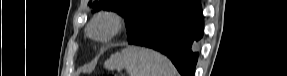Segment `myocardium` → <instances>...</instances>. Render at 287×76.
Listing matches in <instances>:
<instances>
[{
    "label": "myocardium",
    "mask_w": 287,
    "mask_h": 76,
    "mask_svg": "<svg viewBox=\"0 0 287 76\" xmlns=\"http://www.w3.org/2000/svg\"><path fill=\"white\" fill-rule=\"evenodd\" d=\"M124 19L115 12H104L95 16L88 25L89 36L99 42L105 43L114 38L123 28ZM102 27V31L97 29Z\"/></svg>",
    "instance_id": "f54148a6"
}]
</instances>
